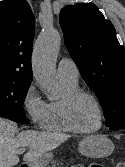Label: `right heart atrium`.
Here are the masks:
<instances>
[{
	"mask_svg": "<svg viewBox=\"0 0 125 167\" xmlns=\"http://www.w3.org/2000/svg\"><path fill=\"white\" fill-rule=\"evenodd\" d=\"M21 104L31 123L36 127H43L47 116L48 103L41 97L34 83L29 84L26 88Z\"/></svg>",
	"mask_w": 125,
	"mask_h": 167,
	"instance_id": "right-heart-atrium-1",
	"label": "right heart atrium"
}]
</instances>
